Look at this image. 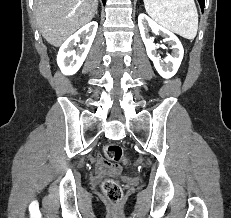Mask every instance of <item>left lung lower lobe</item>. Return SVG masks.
<instances>
[{"instance_id": "1", "label": "left lung lower lobe", "mask_w": 231, "mask_h": 218, "mask_svg": "<svg viewBox=\"0 0 231 218\" xmlns=\"http://www.w3.org/2000/svg\"><path fill=\"white\" fill-rule=\"evenodd\" d=\"M198 2L200 3L201 10H202V12H203V10H204L205 0H198Z\"/></svg>"}]
</instances>
